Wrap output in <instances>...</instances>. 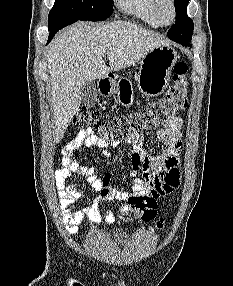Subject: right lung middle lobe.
Instances as JSON below:
<instances>
[{
  "instance_id": "1",
  "label": "right lung middle lobe",
  "mask_w": 233,
  "mask_h": 286,
  "mask_svg": "<svg viewBox=\"0 0 233 286\" xmlns=\"http://www.w3.org/2000/svg\"><path fill=\"white\" fill-rule=\"evenodd\" d=\"M112 12L110 0H55L49 13L48 26L64 21H102Z\"/></svg>"
}]
</instances>
